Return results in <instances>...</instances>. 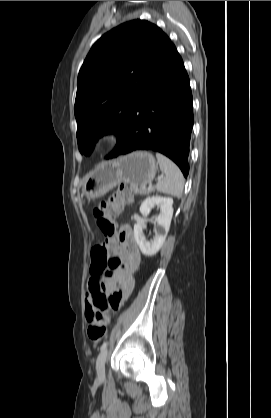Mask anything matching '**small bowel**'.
<instances>
[{
    "mask_svg": "<svg viewBox=\"0 0 271 418\" xmlns=\"http://www.w3.org/2000/svg\"><path fill=\"white\" fill-rule=\"evenodd\" d=\"M120 247L115 254L120 259L121 265L109 277L100 282L104 294L109 297V306L113 310L119 309L130 297L135 287L134 273L141 262V253L129 226H122L119 233ZM119 299L117 305L113 303ZM94 304V281L92 278L88 284L86 297V312Z\"/></svg>",
    "mask_w": 271,
    "mask_h": 418,
    "instance_id": "1",
    "label": "small bowel"
}]
</instances>
